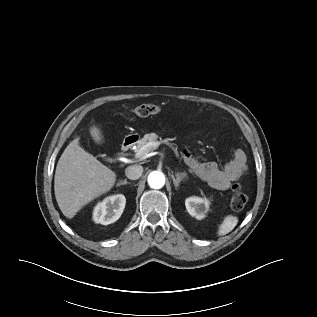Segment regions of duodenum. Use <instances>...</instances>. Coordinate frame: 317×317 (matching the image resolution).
<instances>
[{"label":"duodenum","mask_w":317,"mask_h":317,"mask_svg":"<svg viewBox=\"0 0 317 317\" xmlns=\"http://www.w3.org/2000/svg\"><path fill=\"white\" fill-rule=\"evenodd\" d=\"M137 141H138V137L135 135L126 137L122 143V147H121L122 151L127 152L136 144Z\"/></svg>","instance_id":"1"}]
</instances>
